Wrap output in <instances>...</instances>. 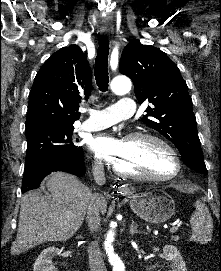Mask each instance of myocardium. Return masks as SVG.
Instances as JSON below:
<instances>
[{
    "instance_id": "1",
    "label": "myocardium",
    "mask_w": 221,
    "mask_h": 271,
    "mask_svg": "<svg viewBox=\"0 0 221 271\" xmlns=\"http://www.w3.org/2000/svg\"><path fill=\"white\" fill-rule=\"evenodd\" d=\"M165 140L170 139L151 130L142 133H129V137L125 138L126 142H133L132 145H135L136 142H148L150 145L152 144L150 147L152 150H164L163 154L166 156L164 163L168 164L172 170L169 173L161 175L129 173L127 170H121L122 167L118 165L115 158H108L107 167L110 168V171H114V175H121L124 179L149 178V183H166V178H175L182 170L176 161V150H170V142H165Z\"/></svg>"
}]
</instances>
